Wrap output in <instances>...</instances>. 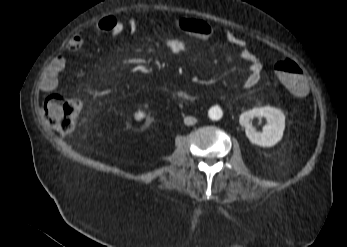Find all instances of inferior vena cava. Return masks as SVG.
I'll list each match as a JSON object with an SVG mask.
<instances>
[{
  "instance_id": "602c4592",
  "label": "inferior vena cava",
  "mask_w": 347,
  "mask_h": 247,
  "mask_svg": "<svg viewBox=\"0 0 347 247\" xmlns=\"http://www.w3.org/2000/svg\"><path fill=\"white\" fill-rule=\"evenodd\" d=\"M197 122V119L195 117L187 116L184 118V123L186 125H193Z\"/></svg>"
}]
</instances>
